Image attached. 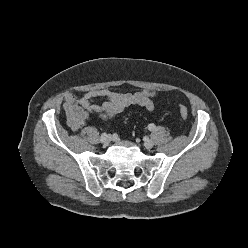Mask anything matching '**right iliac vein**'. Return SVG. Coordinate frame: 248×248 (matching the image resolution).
<instances>
[{
    "label": "right iliac vein",
    "mask_w": 248,
    "mask_h": 248,
    "mask_svg": "<svg viewBox=\"0 0 248 248\" xmlns=\"http://www.w3.org/2000/svg\"><path fill=\"white\" fill-rule=\"evenodd\" d=\"M103 145H105V146H107L109 143H110V141H111V137L110 136H106L104 139H103Z\"/></svg>",
    "instance_id": "63e3f726"
}]
</instances>
